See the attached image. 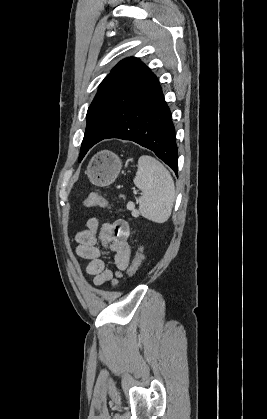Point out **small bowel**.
Here are the masks:
<instances>
[{"instance_id":"obj_1","label":"small bowel","mask_w":267,"mask_h":419,"mask_svg":"<svg viewBox=\"0 0 267 419\" xmlns=\"http://www.w3.org/2000/svg\"><path fill=\"white\" fill-rule=\"evenodd\" d=\"M129 234V225L123 219L99 225L94 217L87 221V228L77 234L76 254L89 261L85 272L93 276L95 286L115 285L128 267L131 255ZM106 252L112 253V268L103 258Z\"/></svg>"}]
</instances>
